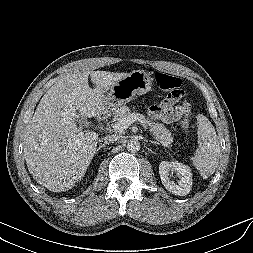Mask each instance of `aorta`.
I'll list each match as a JSON object with an SVG mask.
<instances>
[{
  "label": "aorta",
  "instance_id": "1",
  "mask_svg": "<svg viewBox=\"0 0 253 253\" xmlns=\"http://www.w3.org/2000/svg\"><path fill=\"white\" fill-rule=\"evenodd\" d=\"M127 149L131 153H136L140 150V142L137 139H130L127 142Z\"/></svg>",
  "mask_w": 253,
  "mask_h": 253
}]
</instances>
